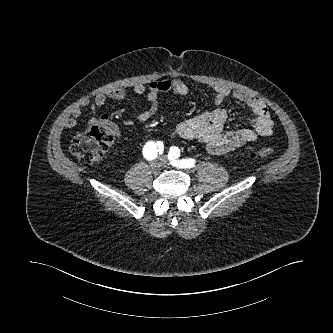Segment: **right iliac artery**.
<instances>
[{
	"instance_id": "right-iliac-artery-1",
	"label": "right iliac artery",
	"mask_w": 333,
	"mask_h": 333,
	"mask_svg": "<svg viewBox=\"0 0 333 333\" xmlns=\"http://www.w3.org/2000/svg\"><path fill=\"white\" fill-rule=\"evenodd\" d=\"M164 150L163 143L158 141H149L143 148V155L147 160H153L157 157L158 154H162Z\"/></svg>"
}]
</instances>
